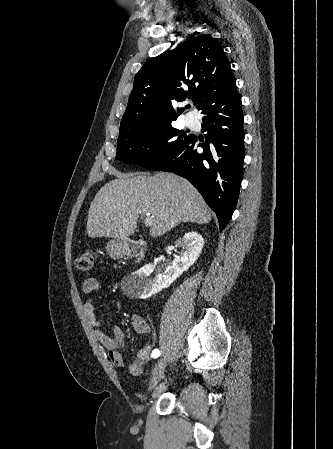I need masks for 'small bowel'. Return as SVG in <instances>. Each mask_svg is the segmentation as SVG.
I'll use <instances>...</instances> for the list:
<instances>
[{
	"label": "small bowel",
	"instance_id": "c3829d8e",
	"mask_svg": "<svg viewBox=\"0 0 333 449\" xmlns=\"http://www.w3.org/2000/svg\"><path fill=\"white\" fill-rule=\"evenodd\" d=\"M99 289V282L95 278H88L82 284V291L88 297L84 303L83 309L89 323L95 328V335L102 346L108 351L110 362L116 367L124 366L123 351L126 348V336L124 331L119 326L112 328V334L107 335L102 332L100 327V320L96 316L93 297ZM120 305L117 303V308ZM131 325L139 334H149L150 326L143 316L140 314H133L131 316ZM154 351L152 344H146L137 351L135 359L129 366V371L132 375H139L142 372L143 365L150 360V356Z\"/></svg>",
	"mask_w": 333,
	"mask_h": 449
}]
</instances>
